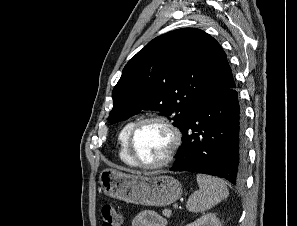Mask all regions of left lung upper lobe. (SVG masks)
Masks as SVG:
<instances>
[{"instance_id":"obj_1","label":"left lung upper lobe","mask_w":297,"mask_h":226,"mask_svg":"<svg viewBox=\"0 0 297 226\" xmlns=\"http://www.w3.org/2000/svg\"><path fill=\"white\" fill-rule=\"evenodd\" d=\"M234 87L226 54L213 37L196 28L170 31L126 64L113 89L109 121L156 110L181 130L207 91Z\"/></svg>"}]
</instances>
